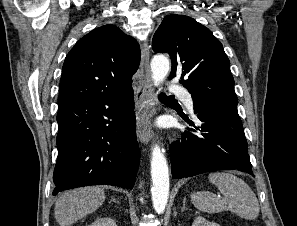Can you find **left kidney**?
Returning a JSON list of instances; mask_svg holds the SVG:
<instances>
[{
  "mask_svg": "<svg viewBox=\"0 0 297 226\" xmlns=\"http://www.w3.org/2000/svg\"><path fill=\"white\" fill-rule=\"evenodd\" d=\"M192 226H220L218 223L206 220L204 217H196Z\"/></svg>",
  "mask_w": 297,
  "mask_h": 226,
  "instance_id": "1",
  "label": "left kidney"
}]
</instances>
